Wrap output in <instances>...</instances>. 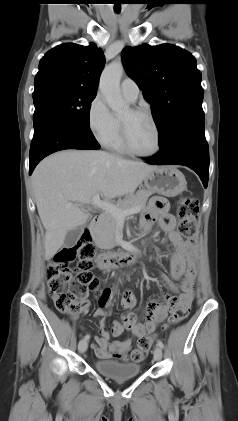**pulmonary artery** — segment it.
Here are the masks:
<instances>
[{
	"label": "pulmonary artery",
	"mask_w": 238,
	"mask_h": 421,
	"mask_svg": "<svg viewBox=\"0 0 238 421\" xmlns=\"http://www.w3.org/2000/svg\"><path fill=\"white\" fill-rule=\"evenodd\" d=\"M121 92L123 96L130 102H135L139 95V87L134 80L125 78L121 82Z\"/></svg>",
	"instance_id": "1"
}]
</instances>
